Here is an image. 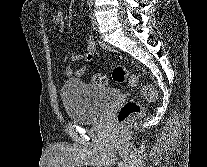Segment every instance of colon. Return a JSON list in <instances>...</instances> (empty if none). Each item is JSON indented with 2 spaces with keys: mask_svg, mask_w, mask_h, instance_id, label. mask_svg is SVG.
Listing matches in <instances>:
<instances>
[{
  "mask_svg": "<svg viewBox=\"0 0 207 167\" xmlns=\"http://www.w3.org/2000/svg\"><path fill=\"white\" fill-rule=\"evenodd\" d=\"M112 78L117 83L128 81V84L131 87H139L141 95L148 102H153L158 96L157 90L153 85L148 83L141 84L139 77L126 67H115L112 72ZM91 82L96 86L104 87L108 84V78L104 74L96 73L92 75ZM143 111L144 106L141 103L130 100L124 103L119 109L117 119L120 123H124L134 117L141 115Z\"/></svg>",
  "mask_w": 207,
  "mask_h": 167,
  "instance_id": "obj_1",
  "label": "colon"
}]
</instances>
